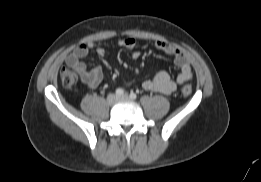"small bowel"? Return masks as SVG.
<instances>
[{
	"instance_id": "1",
	"label": "small bowel",
	"mask_w": 261,
	"mask_h": 182,
	"mask_svg": "<svg viewBox=\"0 0 261 182\" xmlns=\"http://www.w3.org/2000/svg\"><path fill=\"white\" fill-rule=\"evenodd\" d=\"M115 45L131 50L133 59L140 57V52L135 50L136 40L132 37L120 39ZM106 47L107 44L91 41L81 44L66 57L67 65L75 70L83 83L90 88L100 85L104 74L100 66L89 69L83 59L88 55L90 49H94L98 56L103 57L106 53ZM154 47L174 58L175 64L179 67V74L177 79L173 80L168 72L161 71L154 78L144 81L142 87L146 91L170 94L176 90L178 84H183L192 78L189 57L179 48L165 41H155Z\"/></svg>"
}]
</instances>
